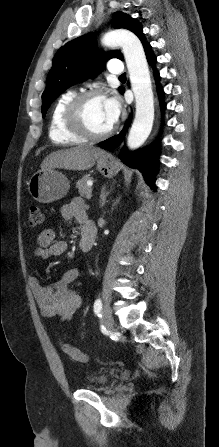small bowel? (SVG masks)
I'll return each mask as SVG.
<instances>
[{
    "instance_id": "1",
    "label": "small bowel",
    "mask_w": 219,
    "mask_h": 447,
    "mask_svg": "<svg viewBox=\"0 0 219 447\" xmlns=\"http://www.w3.org/2000/svg\"><path fill=\"white\" fill-rule=\"evenodd\" d=\"M60 216L66 223L77 221L82 223L86 217L84 202L80 198L73 199L60 209ZM53 230H43L38 236V247L35 256L41 259L59 257L66 253L68 244L65 241L55 240ZM82 243V242H81ZM80 243V248H81ZM82 271L72 268L66 271L53 285L42 286L37 277L29 278V286L41 314L44 317H58L61 320H70L83 304V296L70 288V285L79 279Z\"/></svg>"
}]
</instances>
